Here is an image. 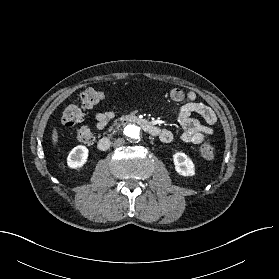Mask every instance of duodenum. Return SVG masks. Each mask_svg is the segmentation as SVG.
I'll return each instance as SVG.
<instances>
[{
	"label": "duodenum",
	"mask_w": 279,
	"mask_h": 279,
	"mask_svg": "<svg viewBox=\"0 0 279 279\" xmlns=\"http://www.w3.org/2000/svg\"><path fill=\"white\" fill-rule=\"evenodd\" d=\"M128 123H134L139 125L145 132L156 136L158 134V128L150 123L145 118L138 117L136 115H125L122 116L118 124L119 125H125ZM110 146V139L108 137H103L98 141V149L101 151H105L109 148Z\"/></svg>",
	"instance_id": "1"
}]
</instances>
